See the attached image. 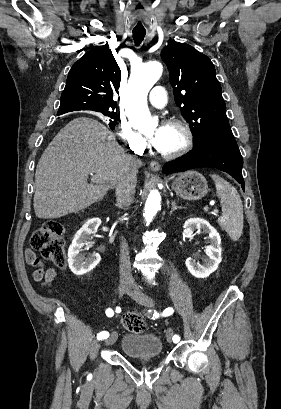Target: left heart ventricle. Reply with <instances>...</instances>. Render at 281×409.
Returning a JSON list of instances; mask_svg holds the SVG:
<instances>
[{
    "label": "left heart ventricle",
    "instance_id": "obj_1",
    "mask_svg": "<svg viewBox=\"0 0 281 409\" xmlns=\"http://www.w3.org/2000/svg\"><path fill=\"white\" fill-rule=\"evenodd\" d=\"M157 128L153 127L148 133V138L155 132ZM184 136L182 131L176 127L164 126L161 144L157 147L162 152H171L176 150L183 143Z\"/></svg>",
    "mask_w": 281,
    "mask_h": 409
}]
</instances>
